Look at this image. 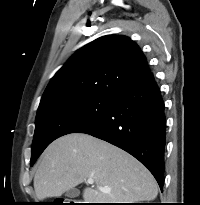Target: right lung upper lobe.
<instances>
[{
	"instance_id": "cb5924a9",
	"label": "right lung upper lobe",
	"mask_w": 200,
	"mask_h": 205,
	"mask_svg": "<svg viewBox=\"0 0 200 205\" xmlns=\"http://www.w3.org/2000/svg\"><path fill=\"white\" fill-rule=\"evenodd\" d=\"M150 73L136 43L126 36H103L79 49L48 84L38 111L86 95L115 98Z\"/></svg>"
}]
</instances>
